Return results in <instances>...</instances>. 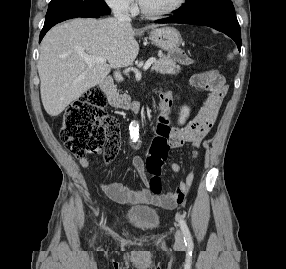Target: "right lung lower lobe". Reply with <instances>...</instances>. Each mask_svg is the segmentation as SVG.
Returning a JSON list of instances; mask_svg holds the SVG:
<instances>
[{"label":"right lung lower lobe","mask_w":286,"mask_h":269,"mask_svg":"<svg viewBox=\"0 0 286 269\" xmlns=\"http://www.w3.org/2000/svg\"><path fill=\"white\" fill-rule=\"evenodd\" d=\"M76 17H83V18H98L99 15L97 14H90V13H80V14H75V15H71V16H67L58 20H54L50 23H46L43 26V29L40 33V38H39V42L42 40V38L44 37V35L47 33V31L53 27L54 25H56L57 23H60L62 21H65L67 19H71V18H76Z\"/></svg>","instance_id":"98d812e1"}]
</instances>
